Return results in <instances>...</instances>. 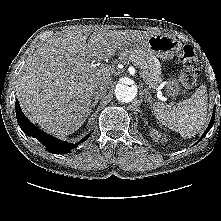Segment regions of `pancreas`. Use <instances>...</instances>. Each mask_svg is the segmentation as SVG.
<instances>
[{"mask_svg": "<svg viewBox=\"0 0 221 221\" xmlns=\"http://www.w3.org/2000/svg\"><path fill=\"white\" fill-rule=\"evenodd\" d=\"M122 62H131L140 70V75L150 87L155 88L162 82L161 70L152 61L151 57L141 52L124 53Z\"/></svg>", "mask_w": 221, "mask_h": 221, "instance_id": "obj_1", "label": "pancreas"}]
</instances>
